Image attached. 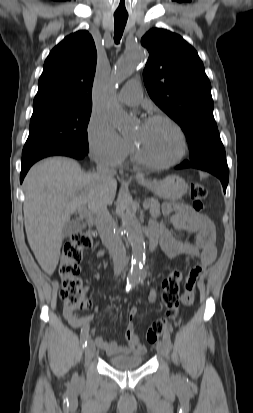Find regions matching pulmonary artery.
I'll list each match as a JSON object with an SVG mask.
<instances>
[{
	"label": "pulmonary artery",
	"instance_id": "pulmonary-artery-1",
	"mask_svg": "<svg viewBox=\"0 0 253 413\" xmlns=\"http://www.w3.org/2000/svg\"><path fill=\"white\" fill-rule=\"evenodd\" d=\"M142 99V88L139 81L128 82L118 94V100L126 105L135 106Z\"/></svg>",
	"mask_w": 253,
	"mask_h": 413
}]
</instances>
